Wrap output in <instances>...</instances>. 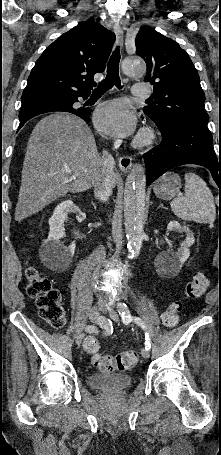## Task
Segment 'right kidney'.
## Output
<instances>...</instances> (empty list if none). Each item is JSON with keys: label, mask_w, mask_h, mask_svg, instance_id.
<instances>
[{"label": "right kidney", "mask_w": 221, "mask_h": 455, "mask_svg": "<svg viewBox=\"0 0 221 455\" xmlns=\"http://www.w3.org/2000/svg\"><path fill=\"white\" fill-rule=\"evenodd\" d=\"M69 213H75L78 221H83L86 218L76 204L71 200H65L59 203L51 218L49 219L50 231L48 238L42 244L39 252L43 264L52 270H64L71 262L75 252L76 245L70 244L64 246L60 239L64 235L63 223Z\"/></svg>", "instance_id": "ca27d5eb"}]
</instances>
